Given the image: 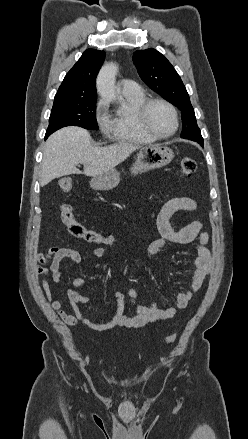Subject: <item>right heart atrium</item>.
Returning <instances> with one entry per match:
<instances>
[{
    "label": "right heart atrium",
    "instance_id": "right-heart-atrium-1",
    "mask_svg": "<svg viewBox=\"0 0 248 439\" xmlns=\"http://www.w3.org/2000/svg\"><path fill=\"white\" fill-rule=\"evenodd\" d=\"M94 117L103 134H110L111 114L108 111L107 102L100 99L95 107Z\"/></svg>",
    "mask_w": 248,
    "mask_h": 439
}]
</instances>
